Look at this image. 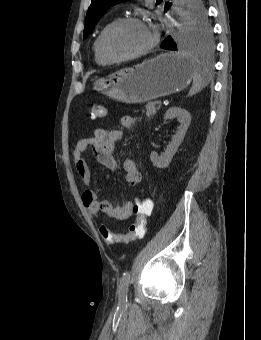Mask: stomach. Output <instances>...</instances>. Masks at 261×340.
Here are the masks:
<instances>
[{
    "mask_svg": "<svg viewBox=\"0 0 261 340\" xmlns=\"http://www.w3.org/2000/svg\"><path fill=\"white\" fill-rule=\"evenodd\" d=\"M194 64L178 53H164L98 79L94 89L117 101L137 104L180 92L193 79Z\"/></svg>",
    "mask_w": 261,
    "mask_h": 340,
    "instance_id": "1",
    "label": "stomach"
}]
</instances>
